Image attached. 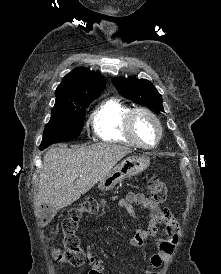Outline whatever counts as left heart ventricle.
Instances as JSON below:
<instances>
[{
    "label": "left heart ventricle",
    "mask_w": 221,
    "mask_h": 274,
    "mask_svg": "<svg viewBox=\"0 0 221 274\" xmlns=\"http://www.w3.org/2000/svg\"><path fill=\"white\" fill-rule=\"evenodd\" d=\"M135 131L138 138L145 144H152L157 138V128L151 118L144 114L137 115Z\"/></svg>",
    "instance_id": "1"
}]
</instances>
